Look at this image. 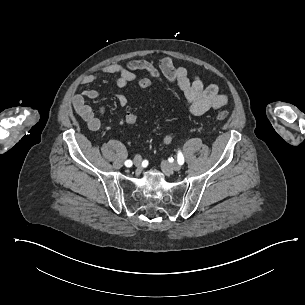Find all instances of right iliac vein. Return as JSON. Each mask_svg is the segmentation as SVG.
Masks as SVG:
<instances>
[{
    "label": "right iliac vein",
    "instance_id": "obj_1",
    "mask_svg": "<svg viewBox=\"0 0 305 305\" xmlns=\"http://www.w3.org/2000/svg\"><path fill=\"white\" fill-rule=\"evenodd\" d=\"M133 162L137 168H140L142 164V159L140 156H135Z\"/></svg>",
    "mask_w": 305,
    "mask_h": 305
}]
</instances>
